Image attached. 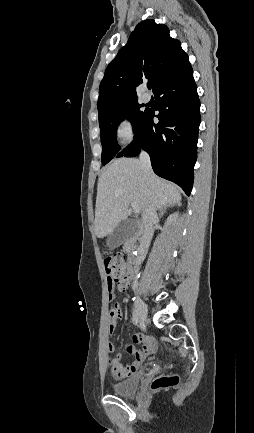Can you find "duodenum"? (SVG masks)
<instances>
[{"label": "duodenum", "instance_id": "duodenum-1", "mask_svg": "<svg viewBox=\"0 0 254 433\" xmlns=\"http://www.w3.org/2000/svg\"><path fill=\"white\" fill-rule=\"evenodd\" d=\"M129 263V267H130V274H131V278L135 279L136 275H137V260L135 259V257L131 256L128 260Z\"/></svg>", "mask_w": 254, "mask_h": 433}]
</instances>
